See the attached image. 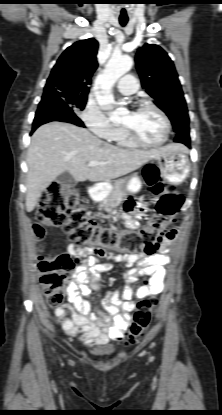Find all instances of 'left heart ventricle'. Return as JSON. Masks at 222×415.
Masks as SVG:
<instances>
[{
  "label": "left heart ventricle",
  "mask_w": 222,
  "mask_h": 415,
  "mask_svg": "<svg viewBox=\"0 0 222 415\" xmlns=\"http://www.w3.org/2000/svg\"><path fill=\"white\" fill-rule=\"evenodd\" d=\"M121 123L132 127L139 137L147 142H159L165 134L163 119L151 108L128 110Z\"/></svg>",
  "instance_id": "1"
}]
</instances>
